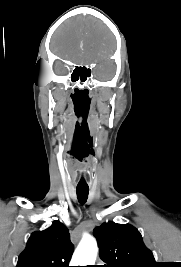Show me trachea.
<instances>
[{"label":"trachea","instance_id":"obj_1","mask_svg":"<svg viewBox=\"0 0 181 267\" xmlns=\"http://www.w3.org/2000/svg\"><path fill=\"white\" fill-rule=\"evenodd\" d=\"M76 192H77L78 201L81 204H84L88 198L89 188L88 187H77Z\"/></svg>","mask_w":181,"mask_h":267}]
</instances>
